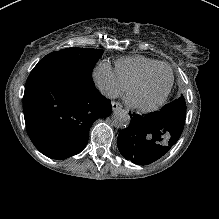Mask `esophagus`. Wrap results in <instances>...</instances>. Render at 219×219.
Instances as JSON below:
<instances>
[{"instance_id": "1", "label": "esophagus", "mask_w": 219, "mask_h": 219, "mask_svg": "<svg viewBox=\"0 0 219 219\" xmlns=\"http://www.w3.org/2000/svg\"><path fill=\"white\" fill-rule=\"evenodd\" d=\"M111 104H112V109H113V110H116V109L122 107L121 103H119V102H117V101H112Z\"/></svg>"}]
</instances>
